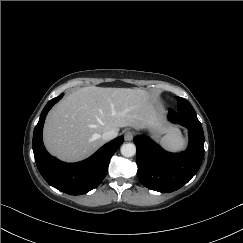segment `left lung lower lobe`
<instances>
[{
	"label": "left lung lower lobe",
	"mask_w": 243,
	"mask_h": 243,
	"mask_svg": "<svg viewBox=\"0 0 243 243\" xmlns=\"http://www.w3.org/2000/svg\"><path fill=\"white\" fill-rule=\"evenodd\" d=\"M168 119L189 130V145L181 153H169L146 136H136L138 177L147 188L173 192L187 183L199 170L204 158V133L197 116L169 109Z\"/></svg>",
	"instance_id": "1"
}]
</instances>
